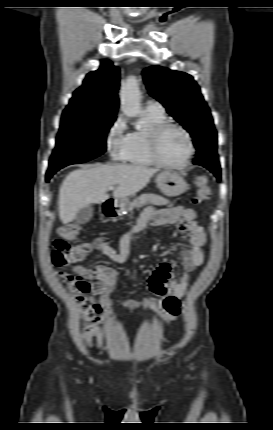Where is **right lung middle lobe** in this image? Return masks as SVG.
I'll return each mask as SVG.
<instances>
[{
  "label": "right lung middle lobe",
  "instance_id": "right-lung-middle-lobe-1",
  "mask_svg": "<svg viewBox=\"0 0 273 430\" xmlns=\"http://www.w3.org/2000/svg\"><path fill=\"white\" fill-rule=\"evenodd\" d=\"M114 116H90L63 112L56 147L48 172L98 157L106 151V134L113 125Z\"/></svg>",
  "mask_w": 273,
  "mask_h": 430
}]
</instances>
